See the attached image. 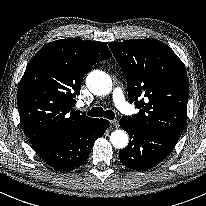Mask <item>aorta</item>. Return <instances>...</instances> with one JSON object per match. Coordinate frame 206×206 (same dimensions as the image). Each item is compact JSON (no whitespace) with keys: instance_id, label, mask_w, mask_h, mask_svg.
I'll return each mask as SVG.
<instances>
[{"instance_id":"762f6f07","label":"aorta","mask_w":206,"mask_h":206,"mask_svg":"<svg viewBox=\"0 0 206 206\" xmlns=\"http://www.w3.org/2000/svg\"><path fill=\"white\" fill-rule=\"evenodd\" d=\"M86 84L89 90L96 95H106L112 89L110 76L99 70L89 73ZM110 142L115 148L123 149L128 145V135L124 130H115L110 135Z\"/></svg>"}]
</instances>
